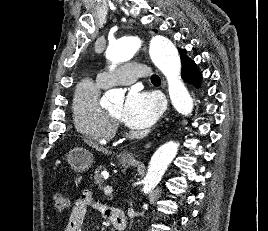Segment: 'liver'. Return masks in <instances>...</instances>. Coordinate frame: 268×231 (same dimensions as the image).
Wrapping results in <instances>:
<instances>
[{"label":"liver","instance_id":"1","mask_svg":"<svg viewBox=\"0 0 268 231\" xmlns=\"http://www.w3.org/2000/svg\"><path fill=\"white\" fill-rule=\"evenodd\" d=\"M87 143H88L90 146L96 148V149L99 150V151H102V152L106 151L105 148H103V147H99L97 144H95V143H93V142H87Z\"/></svg>","mask_w":268,"mask_h":231}]
</instances>
